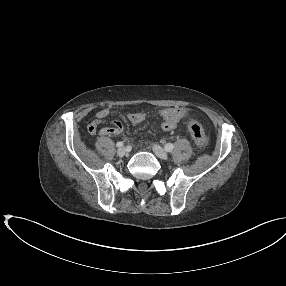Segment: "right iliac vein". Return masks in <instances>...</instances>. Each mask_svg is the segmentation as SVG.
Returning a JSON list of instances; mask_svg holds the SVG:
<instances>
[{
	"instance_id": "1",
	"label": "right iliac vein",
	"mask_w": 286,
	"mask_h": 286,
	"mask_svg": "<svg viewBox=\"0 0 286 286\" xmlns=\"http://www.w3.org/2000/svg\"><path fill=\"white\" fill-rule=\"evenodd\" d=\"M128 153L127 149L125 147H120L118 150H117V154L118 156L120 157H123V156H126Z\"/></svg>"
}]
</instances>
